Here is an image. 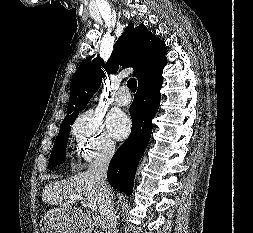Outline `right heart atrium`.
<instances>
[{
  "mask_svg": "<svg viewBox=\"0 0 253 233\" xmlns=\"http://www.w3.org/2000/svg\"><path fill=\"white\" fill-rule=\"evenodd\" d=\"M78 152L85 161L109 157L115 151V143L106 131L102 117L92 110L81 113L71 128Z\"/></svg>",
  "mask_w": 253,
  "mask_h": 233,
  "instance_id": "d8ad5b80",
  "label": "right heart atrium"
}]
</instances>
